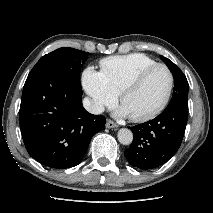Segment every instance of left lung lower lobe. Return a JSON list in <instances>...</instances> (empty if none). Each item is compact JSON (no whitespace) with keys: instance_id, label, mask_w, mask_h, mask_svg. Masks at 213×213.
<instances>
[{"instance_id":"left-lung-lower-lobe-1","label":"left lung lower lobe","mask_w":213,"mask_h":213,"mask_svg":"<svg viewBox=\"0 0 213 213\" xmlns=\"http://www.w3.org/2000/svg\"><path fill=\"white\" fill-rule=\"evenodd\" d=\"M188 118V107L173 104L155 119L129 127L134 141L125 151L128 162L147 170L159 167L179 149Z\"/></svg>"}]
</instances>
